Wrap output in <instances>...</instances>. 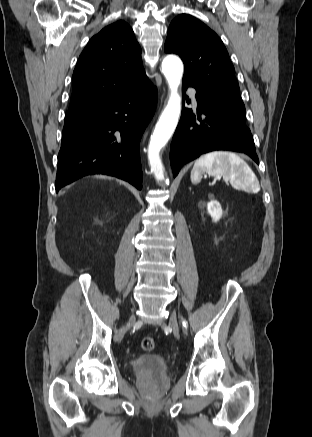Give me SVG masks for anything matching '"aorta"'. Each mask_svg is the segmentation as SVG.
<instances>
[{
	"mask_svg": "<svg viewBox=\"0 0 312 437\" xmlns=\"http://www.w3.org/2000/svg\"><path fill=\"white\" fill-rule=\"evenodd\" d=\"M162 72L168 82L170 96L151 135L148 147L149 165L157 181L165 179L160 151L174 133L181 112V97L178 93V86L183 75L182 61L176 56H167L162 62Z\"/></svg>",
	"mask_w": 312,
	"mask_h": 437,
	"instance_id": "aorta-1",
	"label": "aorta"
}]
</instances>
